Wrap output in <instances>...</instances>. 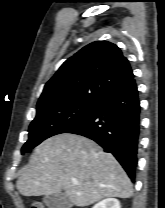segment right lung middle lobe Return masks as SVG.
I'll list each match as a JSON object with an SVG mask.
<instances>
[{"mask_svg": "<svg viewBox=\"0 0 165 208\" xmlns=\"http://www.w3.org/2000/svg\"><path fill=\"white\" fill-rule=\"evenodd\" d=\"M95 105V102H63L38 108L29 126V139L21 153L30 151L51 136L74 128L90 114Z\"/></svg>", "mask_w": 165, "mask_h": 208, "instance_id": "dd1d6c3e", "label": "right lung middle lobe"}]
</instances>
